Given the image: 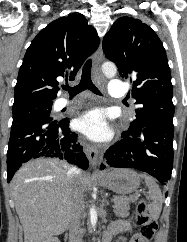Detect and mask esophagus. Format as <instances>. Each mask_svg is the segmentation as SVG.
I'll list each match as a JSON object with an SVG mask.
<instances>
[{
	"mask_svg": "<svg viewBox=\"0 0 187 242\" xmlns=\"http://www.w3.org/2000/svg\"><path fill=\"white\" fill-rule=\"evenodd\" d=\"M103 60V50L102 44L99 45L98 50L94 56V68L99 69L100 64ZM84 150L86 153L87 158L93 169L97 170L98 162H99V151L96 146L90 144L89 142H84Z\"/></svg>",
	"mask_w": 187,
	"mask_h": 242,
	"instance_id": "1",
	"label": "esophagus"
}]
</instances>
